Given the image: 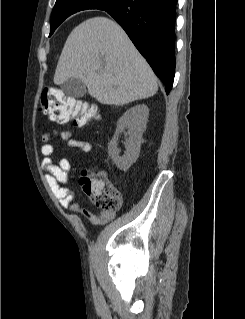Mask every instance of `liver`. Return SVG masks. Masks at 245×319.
Masks as SVG:
<instances>
[{
	"label": "liver",
	"mask_w": 245,
	"mask_h": 319,
	"mask_svg": "<svg viewBox=\"0 0 245 319\" xmlns=\"http://www.w3.org/2000/svg\"><path fill=\"white\" fill-rule=\"evenodd\" d=\"M79 78L89 94L107 105H124L153 96L157 78L125 31L102 16L89 18L68 36L54 83Z\"/></svg>",
	"instance_id": "6515ba94"
}]
</instances>
